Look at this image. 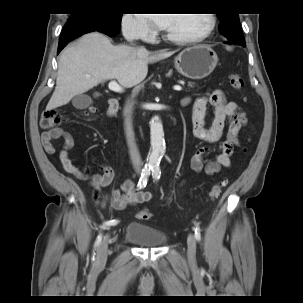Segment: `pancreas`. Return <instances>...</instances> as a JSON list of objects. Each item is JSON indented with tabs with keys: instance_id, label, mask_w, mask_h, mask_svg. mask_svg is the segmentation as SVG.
<instances>
[{
	"instance_id": "obj_1",
	"label": "pancreas",
	"mask_w": 303,
	"mask_h": 303,
	"mask_svg": "<svg viewBox=\"0 0 303 303\" xmlns=\"http://www.w3.org/2000/svg\"><path fill=\"white\" fill-rule=\"evenodd\" d=\"M188 86L192 88V87H194V83L188 82Z\"/></svg>"
}]
</instances>
